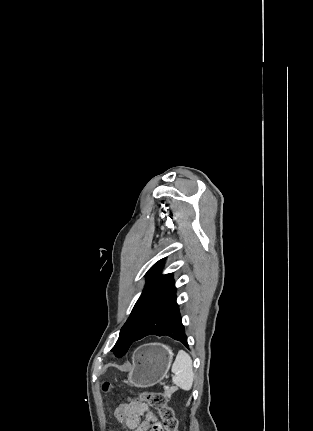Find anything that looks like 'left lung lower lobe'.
I'll use <instances>...</instances> for the list:
<instances>
[{
    "label": "left lung lower lobe",
    "mask_w": 313,
    "mask_h": 431,
    "mask_svg": "<svg viewBox=\"0 0 313 431\" xmlns=\"http://www.w3.org/2000/svg\"><path fill=\"white\" fill-rule=\"evenodd\" d=\"M149 335L169 336L188 347L176 298L161 308L142 328L134 342Z\"/></svg>",
    "instance_id": "left-lung-lower-lobe-1"
}]
</instances>
